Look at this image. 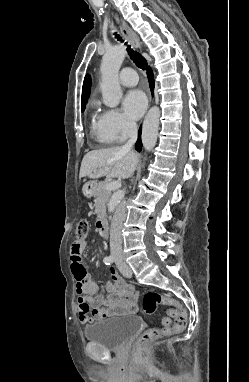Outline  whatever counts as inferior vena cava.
<instances>
[{
	"label": "inferior vena cava",
	"mask_w": 249,
	"mask_h": 382,
	"mask_svg": "<svg viewBox=\"0 0 249 382\" xmlns=\"http://www.w3.org/2000/svg\"><path fill=\"white\" fill-rule=\"evenodd\" d=\"M129 140L123 145L122 149L130 151L137 140V125L135 122H130L129 125ZM125 214V209L122 205L117 206L111 220L110 227V251L114 258L119 262L122 257V237L121 229Z\"/></svg>",
	"instance_id": "inferior-vena-cava-1"
}]
</instances>
